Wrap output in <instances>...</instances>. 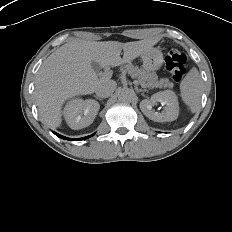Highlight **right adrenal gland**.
<instances>
[{
	"mask_svg": "<svg viewBox=\"0 0 232 232\" xmlns=\"http://www.w3.org/2000/svg\"><path fill=\"white\" fill-rule=\"evenodd\" d=\"M94 97H95L97 100H100V101L103 100L102 98H100V97H98V96H96V95H94Z\"/></svg>",
	"mask_w": 232,
	"mask_h": 232,
	"instance_id": "1",
	"label": "right adrenal gland"
}]
</instances>
